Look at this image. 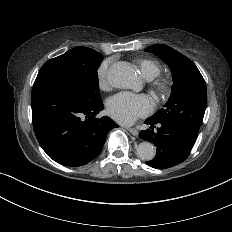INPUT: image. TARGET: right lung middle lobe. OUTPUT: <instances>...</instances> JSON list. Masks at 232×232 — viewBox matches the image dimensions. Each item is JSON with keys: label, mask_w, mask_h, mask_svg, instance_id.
I'll list each match as a JSON object with an SVG mask.
<instances>
[{"label": "right lung middle lobe", "mask_w": 232, "mask_h": 232, "mask_svg": "<svg viewBox=\"0 0 232 232\" xmlns=\"http://www.w3.org/2000/svg\"><path fill=\"white\" fill-rule=\"evenodd\" d=\"M102 59L95 50L80 46L48 60L41 70L58 74L71 84L83 101L95 103L101 101L97 69Z\"/></svg>", "instance_id": "right-lung-middle-lobe-1"}]
</instances>
